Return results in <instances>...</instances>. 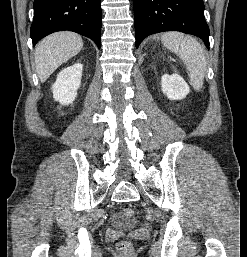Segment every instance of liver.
Returning <instances> with one entry per match:
<instances>
[{"label":"liver","mask_w":247,"mask_h":257,"mask_svg":"<svg viewBox=\"0 0 247 257\" xmlns=\"http://www.w3.org/2000/svg\"><path fill=\"white\" fill-rule=\"evenodd\" d=\"M83 47L80 35L62 31L40 41L35 51L36 73L43 83L64 62L77 55Z\"/></svg>","instance_id":"6515ba94"}]
</instances>
